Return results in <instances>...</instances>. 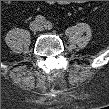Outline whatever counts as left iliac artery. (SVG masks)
Returning <instances> with one entry per match:
<instances>
[{"mask_svg":"<svg viewBox=\"0 0 109 109\" xmlns=\"http://www.w3.org/2000/svg\"><path fill=\"white\" fill-rule=\"evenodd\" d=\"M45 27L48 28V29H50L52 27V24L50 22H46L45 23Z\"/></svg>","mask_w":109,"mask_h":109,"instance_id":"left-iliac-artery-1","label":"left iliac artery"}]
</instances>
